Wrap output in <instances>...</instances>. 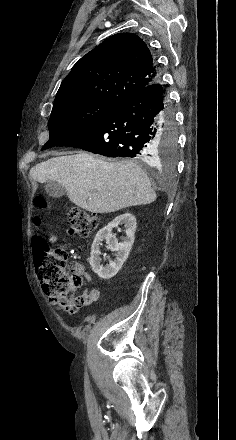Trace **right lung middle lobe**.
Here are the masks:
<instances>
[{"instance_id":"1","label":"right lung middle lobe","mask_w":236,"mask_h":440,"mask_svg":"<svg viewBox=\"0 0 236 440\" xmlns=\"http://www.w3.org/2000/svg\"><path fill=\"white\" fill-rule=\"evenodd\" d=\"M116 104L93 100L54 103L49 119V141L42 150L59 146L69 138L82 133L110 113ZM177 136L174 130L162 132L157 145L165 163H172L176 152Z\"/></svg>"}]
</instances>
